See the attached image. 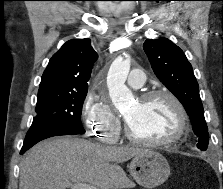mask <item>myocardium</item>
<instances>
[{"label": "myocardium", "mask_w": 223, "mask_h": 189, "mask_svg": "<svg viewBox=\"0 0 223 189\" xmlns=\"http://www.w3.org/2000/svg\"><path fill=\"white\" fill-rule=\"evenodd\" d=\"M160 97H165L169 99L171 103L174 105L178 113V120H179V126L177 131L170 137L158 138V139L145 138L135 134L129 122L125 119V134L131 141L139 144L160 146V145L173 144L182 139L186 135L189 127V116L184 104L174 93L168 90H150L141 94L138 100L140 102H146Z\"/></svg>", "instance_id": "myocardium-1"}]
</instances>
